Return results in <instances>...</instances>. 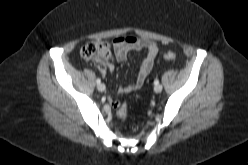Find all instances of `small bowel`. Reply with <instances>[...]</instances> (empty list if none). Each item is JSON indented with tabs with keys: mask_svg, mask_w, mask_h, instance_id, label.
<instances>
[{
	"mask_svg": "<svg viewBox=\"0 0 248 165\" xmlns=\"http://www.w3.org/2000/svg\"><path fill=\"white\" fill-rule=\"evenodd\" d=\"M115 59L118 62H125L127 59V53L130 49L145 50L146 56L141 64L140 70L137 74L136 79L129 85L122 86L118 89L120 94L129 93L138 89L150 74L155 58L158 54V46L155 42L140 37L134 36H123L116 38L112 42ZM112 67L111 65L109 66ZM104 73V71H101Z\"/></svg>",
	"mask_w": 248,
	"mask_h": 165,
	"instance_id": "obj_1",
	"label": "small bowel"
}]
</instances>
